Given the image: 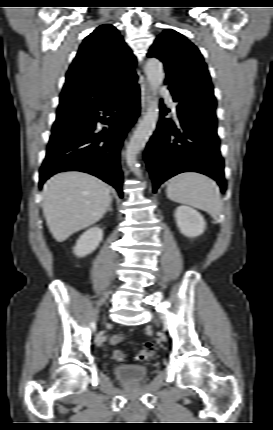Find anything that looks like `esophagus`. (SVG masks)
I'll return each mask as SVG.
<instances>
[{"label":"esophagus","mask_w":273,"mask_h":430,"mask_svg":"<svg viewBox=\"0 0 273 430\" xmlns=\"http://www.w3.org/2000/svg\"><path fill=\"white\" fill-rule=\"evenodd\" d=\"M151 99L150 88L146 81L141 85V114L144 115Z\"/></svg>","instance_id":"1"}]
</instances>
